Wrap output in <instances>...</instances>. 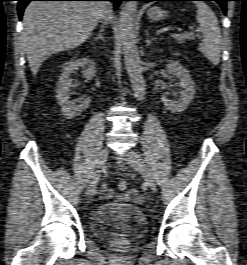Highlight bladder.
Instances as JSON below:
<instances>
[{"mask_svg":"<svg viewBox=\"0 0 247 265\" xmlns=\"http://www.w3.org/2000/svg\"><path fill=\"white\" fill-rule=\"evenodd\" d=\"M91 232L103 242L134 241L147 231L143 210L122 202H108L98 206L91 216Z\"/></svg>","mask_w":247,"mask_h":265,"instance_id":"31cf9c89","label":"bladder"}]
</instances>
